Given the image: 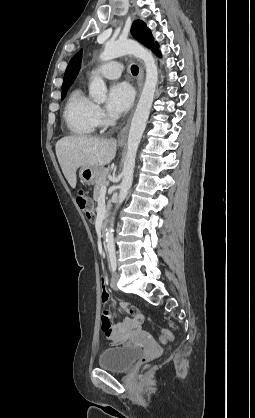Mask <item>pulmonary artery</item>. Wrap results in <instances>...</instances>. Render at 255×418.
Returning <instances> with one entry per match:
<instances>
[{
  "mask_svg": "<svg viewBox=\"0 0 255 418\" xmlns=\"http://www.w3.org/2000/svg\"><path fill=\"white\" fill-rule=\"evenodd\" d=\"M122 69L120 62L111 61L93 69L90 74H99L108 79H117L120 77Z\"/></svg>",
  "mask_w": 255,
  "mask_h": 418,
  "instance_id": "obj_1",
  "label": "pulmonary artery"
}]
</instances>
